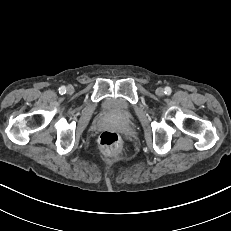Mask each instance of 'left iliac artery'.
Instances as JSON below:
<instances>
[{"mask_svg":"<svg viewBox=\"0 0 231 231\" xmlns=\"http://www.w3.org/2000/svg\"><path fill=\"white\" fill-rule=\"evenodd\" d=\"M165 91H164V93L166 94V95H170L171 94V92H172V90H171V88L170 87H165V89H164Z\"/></svg>","mask_w":231,"mask_h":231,"instance_id":"1","label":"left iliac artery"}]
</instances>
